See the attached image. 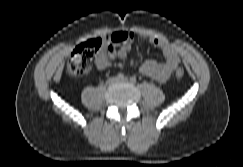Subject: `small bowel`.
Instances as JSON below:
<instances>
[{
    "label": "small bowel",
    "instance_id": "small-bowel-1",
    "mask_svg": "<svg viewBox=\"0 0 243 167\" xmlns=\"http://www.w3.org/2000/svg\"><path fill=\"white\" fill-rule=\"evenodd\" d=\"M135 35L127 31H115L104 37V44L95 58V65L99 70H105L116 59H125L131 49ZM147 40L157 47L163 54L165 61L147 60L141 66V73L158 82H165L176 70L180 63L175 48L155 37Z\"/></svg>",
    "mask_w": 243,
    "mask_h": 167
}]
</instances>
